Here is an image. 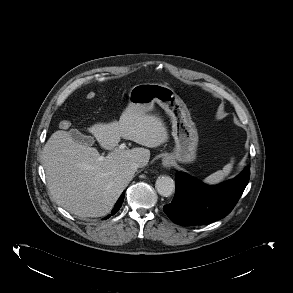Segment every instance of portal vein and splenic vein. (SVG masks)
Returning a JSON list of instances; mask_svg holds the SVG:
<instances>
[{
  "label": "portal vein and splenic vein",
  "instance_id": "portal-vein-and-splenic-vein-1",
  "mask_svg": "<svg viewBox=\"0 0 293 293\" xmlns=\"http://www.w3.org/2000/svg\"><path fill=\"white\" fill-rule=\"evenodd\" d=\"M125 147H126V144L125 143H122L121 145H119V150H123V149H125ZM104 156H100L99 157V160H104Z\"/></svg>",
  "mask_w": 293,
  "mask_h": 293
}]
</instances>
